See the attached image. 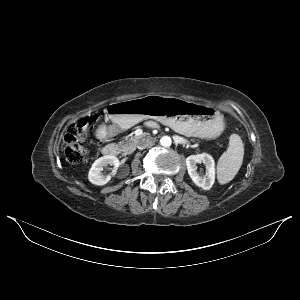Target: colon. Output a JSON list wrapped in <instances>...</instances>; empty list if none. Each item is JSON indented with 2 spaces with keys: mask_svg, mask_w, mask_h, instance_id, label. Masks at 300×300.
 I'll use <instances>...</instances> for the list:
<instances>
[{
  "mask_svg": "<svg viewBox=\"0 0 300 300\" xmlns=\"http://www.w3.org/2000/svg\"><path fill=\"white\" fill-rule=\"evenodd\" d=\"M95 121L94 116H87L71 124L64 136V152L66 159L73 164L81 163L88 155L84 139L90 125Z\"/></svg>",
  "mask_w": 300,
  "mask_h": 300,
  "instance_id": "obj_1",
  "label": "colon"
}]
</instances>
